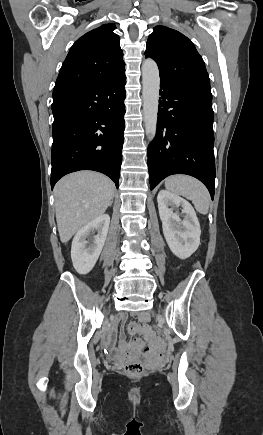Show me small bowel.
I'll return each instance as SVG.
<instances>
[{"instance_id": "small-bowel-1", "label": "small bowel", "mask_w": 263, "mask_h": 435, "mask_svg": "<svg viewBox=\"0 0 263 435\" xmlns=\"http://www.w3.org/2000/svg\"><path fill=\"white\" fill-rule=\"evenodd\" d=\"M139 318L141 322L145 323L149 320V315L147 313H141ZM125 319L126 315H120V322H123ZM139 329L140 326H138L137 324L132 325L133 331H137ZM145 331L146 332L143 334V339L145 341H151L150 347H143L141 349V342L139 341V338H134V341L129 342L126 340L124 334H121L118 346L113 343L115 335L112 333L107 334L105 342L115 357H119L124 354H137L141 349V354L143 356H150L152 354V358L154 359L155 364H164L165 357L162 354L163 343L160 341V332H150L148 329H145Z\"/></svg>"}]
</instances>
